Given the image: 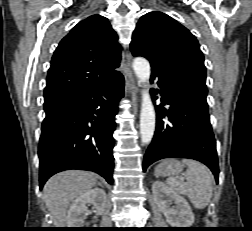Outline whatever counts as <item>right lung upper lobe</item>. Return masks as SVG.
<instances>
[{
  "mask_svg": "<svg viewBox=\"0 0 252 231\" xmlns=\"http://www.w3.org/2000/svg\"><path fill=\"white\" fill-rule=\"evenodd\" d=\"M107 18L93 15L79 22L56 48L47 75L44 103L63 102L72 95L104 85L122 74L121 47Z\"/></svg>",
  "mask_w": 252,
  "mask_h": 231,
  "instance_id": "cb5924a9",
  "label": "right lung upper lobe"
}]
</instances>
